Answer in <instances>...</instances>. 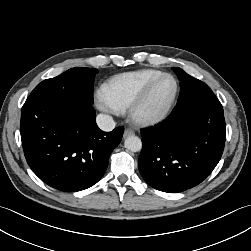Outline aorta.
Listing matches in <instances>:
<instances>
[{"label": "aorta", "instance_id": "obj_1", "mask_svg": "<svg viewBox=\"0 0 251 251\" xmlns=\"http://www.w3.org/2000/svg\"><path fill=\"white\" fill-rule=\"evenodd\" d=\"M125 148L132 152H138L142 148L141 139L135 135L128 136L124 142Z\"/></svg>", "mask_w": 251, "mask_h": 251}]
</instances>
